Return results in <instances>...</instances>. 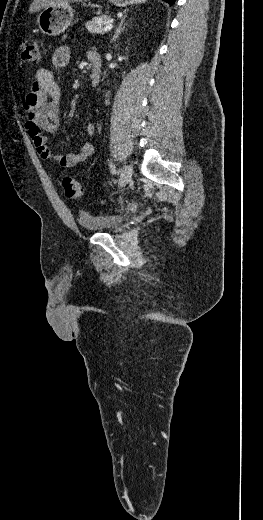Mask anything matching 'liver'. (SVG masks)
<instances>
[{
  "label": "liver",
  "instance_id": "liver-1",
  "mask_svg": "<svg viewBox=\"0 0 263 520\" xmlns=\"http://www.w3.org/2000/svg\"><path fill=\"white\" fill-rule=\"evenodd\" d=\"M83 0H33L32 4L29 7L30 13H36L40 11L41 9H45L49 6H56V5H65L69 4L71 2H81ZM87 1V0H84Z\"/></svg>",
  "mask_w": 263,
  "mask_h": 520
}]
</instances>
